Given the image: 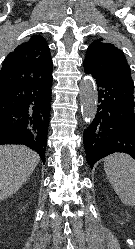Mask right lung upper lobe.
Wrapping results in <instances>:
<instances>
[{
  "label": "right lung upper lobe",
  "mask_w": 135,
  "mask_h": 249,
  "mask_svg": "<svg viewBox=\"0 0 135 249\" xmlns=\"http://www.w3.org/2000/svg\"><path fill=\"white\" fill-rule=\"evenodd\" d=\"M52 67L46 40L40 35H33L5 58L0 70V87L50 79Z\"/></svg>",
  "instance_id": "1"
}]
</instances>
